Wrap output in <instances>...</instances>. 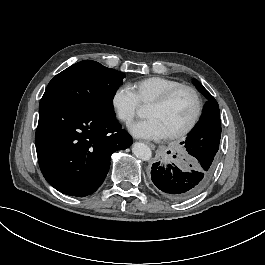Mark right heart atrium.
<instances>
[{"instance_id":"d8ad5b80","label":"right heart atrium","mask_w":265,"mask_h":265,"mask_svg":"<svg viewBox=\"0 0 265 265\" xmlns=\"http://www.w3.org/2000/svg\"><path fill=\"white\" fill-rule=\"evenodd\" d=\"M135 93L126 85H121L115 90L110 103L112 116L118 123L130 124L142 116V107L136 105Z\"/></svg>"}]
</instances>
